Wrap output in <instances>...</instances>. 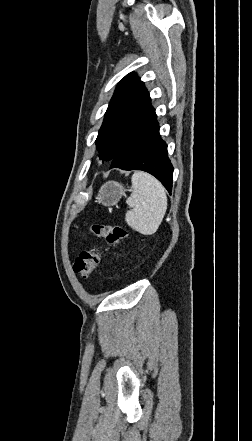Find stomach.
<instances>
[{
    "label": "stomach",
    "instance_id": "1",
    "mask_svg": "<svg viewBox=\"0 0 252 441\" xmlns=\"http://www.w3.org/2000/svg\"><path fill=\"white\" fill-rule=\"evenodd\" d=\"M126 191L127 189L122 184L109 181L100 188L97 199L99 203L105 206H112L121 199Z\"/></svg>",
    "mask_w": 252,
    "mask_h": 441
}]
</instances>
